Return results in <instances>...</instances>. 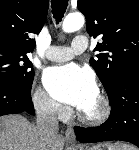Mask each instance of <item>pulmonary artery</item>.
<instances>
[{
  "mask_svg": "<svg viewBox=\"0 0 139 150\" xmlns=\"http://www.w3.org/2000/svg\"><path fill=\"white\" fill-rule=\"evenodd\" d=\"M88 47V40L85 36H76L70 47L66 46H51L46 57L55 62H64L72 59L75 55L81 54Z\"/></svg>",
  "mask_w": 139,
  "mask_h": 150,
  "instance_id": "obj_1",
  "label": "pulmonary artery"
}]
</instances>
